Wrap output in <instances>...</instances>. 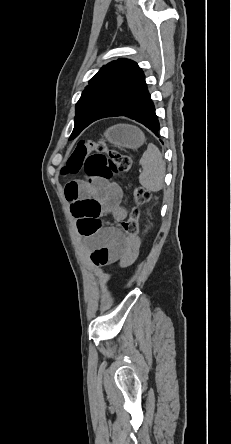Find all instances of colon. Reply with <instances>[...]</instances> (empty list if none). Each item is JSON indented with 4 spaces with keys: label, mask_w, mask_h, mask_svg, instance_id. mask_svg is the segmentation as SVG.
<instances>
[{
    "label": "colon",
    "mask_w": 231,
    "mask_h": 444,
    "mask_svg": "<svg viewBox=\"0 0 231 444\" xmlns=\"http://www.w3.org/2000/svg\"><path fill=\"white\" fill-rule=\"evenodd\" d=\"M131 168V157L120 150L108 148L104 141H81L73 149L62 169V174L83 172L85 175L83 182L91 184L97 179H110L115 174L125 175ZM150 198L151 193L146 188L142 186L134 188V206L128 218L120 224L128 239L137 237L139 206L147 203ZM99 209V204L94 200H82L73 206L72 213L77 218L78 229L83 236L91 237L100 229Z\"/></svg>",
    "instance_id": "colon-1"
}]
</instances>
